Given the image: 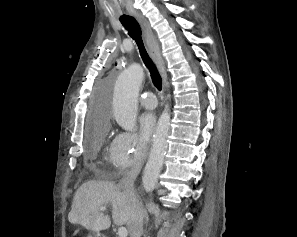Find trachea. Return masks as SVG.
I'll return each mask as SVG.
<instances>
[{"label":"trachea","instance_id":"trachea-1","mask_svg":"<svg viewBox=\"0 0 297 237\" xmlns=\"http://www.w3.org/2000/svg\"><path fill=\"white\" fill-rule=\"evenodd\" d=\"M121 23L123 24V26L126 29L129 30V35L136 41L138 48H139L141 58L145 64V66L148 68V70L150 72V76H151L153 84L159 91H161L162 78L146 50V47H145L143 39H142L141 28H140L138 22L136 21L135 18L128 17L126 19L121 20Z\"/></svg>","mask_w":297,"mask_h":237}]
</instances>
